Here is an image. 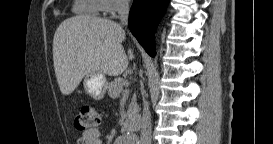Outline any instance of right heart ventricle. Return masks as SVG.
I'll use <instances>...</instances> for the list:
<instances>
[{"label":"right heart ventricle","instance_id":"1","mask_svg":"<svg viewBox=\"0 0 273 144\" xmlns=\"http://www.w3.org/2000/svg\"><path fill=\"white\" fill-rule=\"evenodd\" d=\"M73 10L79 15L95 16L101 11L100 0H76Z\"/></svg>","mask_w":273,"mask_h":144}]
</instances>
